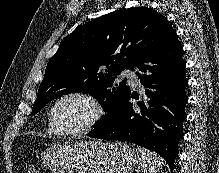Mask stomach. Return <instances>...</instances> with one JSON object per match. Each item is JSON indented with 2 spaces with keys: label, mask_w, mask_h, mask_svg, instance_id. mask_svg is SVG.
<instances>
[{
  "label": "stomach",
  "mask_w": 219,
  "mask_h": 173,
  "mask_svg": "<svg viewBox=\"0 0 219 173\" xmlns=\"http://www.w3.org/2000/svg\"><path fill=\"white\" fill-rule=\"evenodd\" d=\"M43 164L53 173H133L139 158L122 142H63L49 146Z\"/></svg>",
  "instance_id": "0dacf381"
}]
</instances>
